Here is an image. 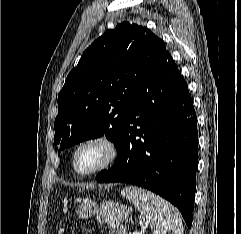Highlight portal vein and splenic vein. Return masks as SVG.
<instances>
[{
	"label": "portal vein and splenic vein",
	"instance_id": "18ae733b",
	"mask_svg": "<svg viewBox=\"0 0 241 234\" xmlns=\"http://www.w3.org/2000/svg\"><path fill=\"white\" fill-rule=\"evenodd\" d=\"M132 234H141L140 232H133Z\"/></svg>",
	"mask_w": 241,
	"mask_h": 234
}]
</instances>
